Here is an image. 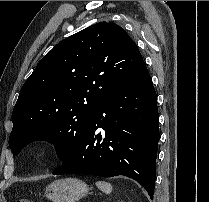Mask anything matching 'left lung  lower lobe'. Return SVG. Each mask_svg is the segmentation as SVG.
Returning <instances> with one entry per match:
<instances>
[{
	"label": "left lung lower lobe",
	"instance_id": "1",
	"mask_svg": "<svg viewBox=\"0 0 209 202\" xmlns=\"http://www.w3.org/2000/svg\"><path fill=\"white\" fill-rule=\"evenodd\" d=\"M158 124L157 96L144 66L96 105L84 137L53 174L123 175L140 183L152 199Z\"/></svg>",
	"mask_w": 209,
	"mask_h": 202
}]
</instances>
